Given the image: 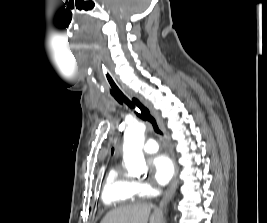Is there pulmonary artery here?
<instances>
[{"mask_svg": "<svg viewBox=\"0 0 267 223\" xmlns=\"http://www.w3.org/2000/svg\"><path fill=\"white\" fill-rule=\"evenodd\" d=\"M159 148L158 142L155 139H149L145 142L142 149L147 153L156 152Z\"/></svg>", "mask_w": 267, "mask_h": 223, "instance_id": "pulmonary-artery-1", "label": "pulmonary artery"}]
</instances>
